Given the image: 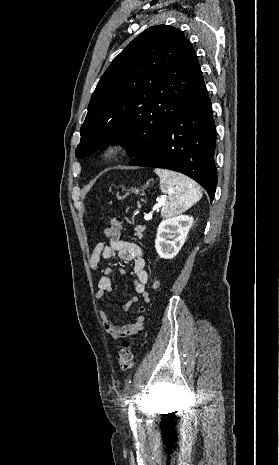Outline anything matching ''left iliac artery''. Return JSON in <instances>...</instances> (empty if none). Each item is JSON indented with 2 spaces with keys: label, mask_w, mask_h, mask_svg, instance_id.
<instances>
[{
  "label": "left iliac artery",
  "mask_w": 279,
  "mask_h": 465,
  "mask_svg": "<svg viewBox=\"0 0 279 465\" xmlns=\"http://www.w3.org/2000/svg\"><path fill=\"white\" fill-rule=\"evenodd\" d=\"M128 402H129V400L126 401V403H128ZM128 414H129V420H130L131 422H134V421L136 420V416H135L134 407H133L131 404H130V406H129V412H128Z\"/></svg>",
  "instance_id": "left-iliac-artery-1"
}]
</instances>
